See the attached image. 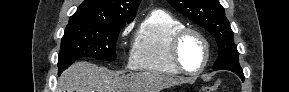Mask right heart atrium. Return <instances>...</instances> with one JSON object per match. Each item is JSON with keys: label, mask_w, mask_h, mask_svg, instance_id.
<instances>
[{"label": "right heart atrium", "mask_w": 289, "mask_h": 92, "mask_svg": "<svg viewBox=\"0 0 289 92\" xmlns=\"http://www.w3.org/2000/svg\"><path fill=\"white\" fill-rule=\"evenodd\" d=\"M131 25H128L124 30H123V32H122V37H125V36H127L128 35V33L130 32V30H131Z\"/></svg>", "instance_id": "1"}]
</instances>
